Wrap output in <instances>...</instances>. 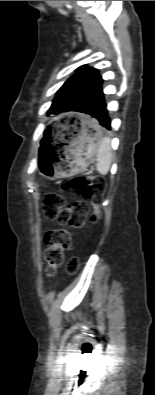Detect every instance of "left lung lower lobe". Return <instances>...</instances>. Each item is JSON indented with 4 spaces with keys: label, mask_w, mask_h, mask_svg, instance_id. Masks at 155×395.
I'll list each match as a JSON object with an SVG mask.
<instances>
[{
    "label": "left lung lower lobe",
    "mask_w": 155,
    "mask_h": 395,
    "mask_svg": "<svg viewBox=\"0 0 155 395\" xmlns=\"http://www.w3.org/2000/svg\"><path fill=\"white\" fill-rule=\"evenodd\" d=\"M101 85L87 96L81 106V112L92 117L98 127L101 125L110 130L111 122L106 109L104 93Z\"/></svg>",
    "instance_id": "left-lung-lower-lobe-1"
}]
</instances>
